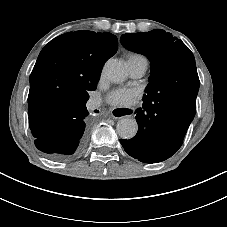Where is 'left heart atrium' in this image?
Listing matches in <instances>:
<instances>
[{
    "label": "left heart atrium",
    "instance_id": "left-heart-atrium-1",
    "mask_svg": "<svg viewBox=\"0 0 227 227\" xmlns=\"http://www.w3.org/2000/svg\"><path fill=\"white\" fill-rule=\"evenodd\" d=\"M140 94L134 89H119L113 91L109 97L108 101L110 104L118 107H129L136 103Z\"/></svg>",
    "mask_w": 227,
    "mask_h": 227
}]
</instances>
